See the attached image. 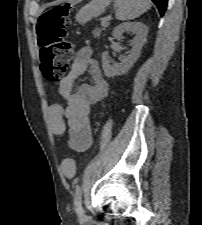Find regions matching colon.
Returning <instances> with one entry per match:
<instances>
[{"mask_svg":"<svg viewBox=\"0 0 202 225\" xmlns=\"http://www.w3.org/2000/svg\"><path fill=\"white\" fill-rule=\"evenodd\" d=\"M65 5L46 10L36 23V35L41 52V73L53 86L59 85L72 59V44L67 40V14ZM74 160L66 156L60 166L63 177H73Z\"/></svg>","mask_w":202,"mask_h":225,"instance_id":"1","label":"colon"}]
</instances>
